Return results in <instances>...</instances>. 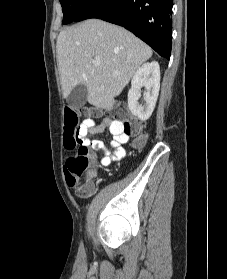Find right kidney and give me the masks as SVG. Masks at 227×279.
<instances>
[{"mask_svg":"<svg viewBox=\"0 0 227 279\" xmlns=\"http://www.w3.org/2000/svg\"><path fill=\"white\" fill-rule=\"evenodd\" d=\"M142 87L146 88L144 105L138 102ZM159 88L160 68L158 62L144 63L135 72L131 81V89L128 92V107L131 113L141 120L149 119L156 105Z\"/></svg>","mask_w":227,"mask_h":279,"instance_id":"ca27d5eb","label":"right kidney"}]
</instances>
